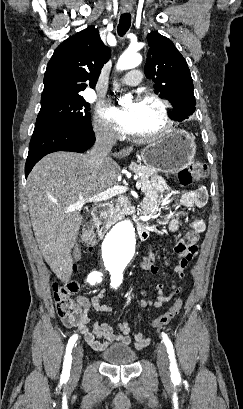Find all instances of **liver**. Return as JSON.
<instances>
[{
	"label": "liver",
	"mask_w": 243,
	"mask_h": 409,
	"mask_svg": "<svg viewBox=\"0 0 243 409\" xmlns=\"http://www.w3.org/2000/svg\"><path fill=\"white\" fill-rule=\"evenodd\" d=\"M132 151L129 147L118 156ZM119 173L120 166L111 157L95 171L85 155L59 151L43 157L29 174L26 189L34 235L43 258L61 281L71 277V250L83 219L79 210L67 212V208L111 188Z\"/></svg>",
	"instance_id": "obj_1"
}]
</instances>
